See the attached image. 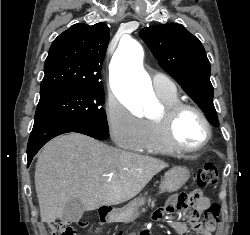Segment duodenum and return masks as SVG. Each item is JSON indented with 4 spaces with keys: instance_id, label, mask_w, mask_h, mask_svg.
Listing matches in <instances>:
<instances>
[{
    "instance_id": "obj_1",
    "label": "duodenum",
    "mask_w": 250,
    "mask_h": 235,
    "mask_svg": "<svg viewBox=\"0 0 250 235\" xmlns=\"http://www.w3.org/2000/svg\"><path fill=\"white\" fill-rule=\"evenodd\" d=\"M100 215H101V222L106 224L111 223V216L113 215V212L111 210L102 208Z\"/></svg>"
}]
</instances>
